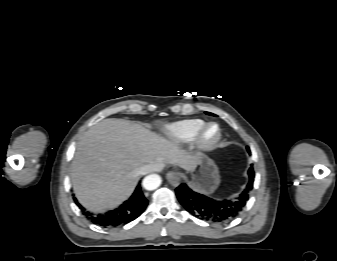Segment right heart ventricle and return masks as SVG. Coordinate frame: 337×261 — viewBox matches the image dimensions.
I'll use <instances>...</instances> for the list:
<instances>
[{
    "instance_id": "right-heart-ventricle-1",
    "label": "right heart ventricle",
    "mask_w": 337,
    "mask_h": 261,
    "mask_svg": "<svg viewBox=\"0 0 337 261\" xmlns=\"http://www.w3.org/2000/svg\"><path fill=\"white\" fill-rule=\"evenodd\" d=\"M205 124V121L202 119L182 120L168 125L165 128V133L172 142L187 144L195 139Z\"/></svg>"
}]
</instances>
